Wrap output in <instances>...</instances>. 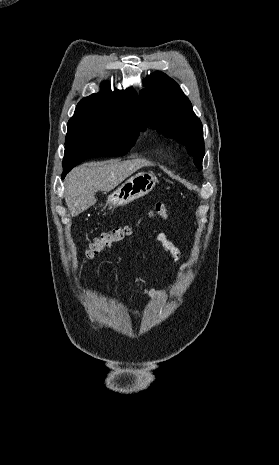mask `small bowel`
<instances>
[{
  "label": "small bowel",
  "instance_id": "small-bowel-1",
  "mask_svg": "<svg viewBox=\"0 0 279 465\" xmlns=\"http://www.w3.org/2000/svg\"><path fill=\"white\" fill-rule=\"evenodd\" d=\"M157 239L161 243V245L173 257L176 265L178 266V272H177L178 276H182L183 273L192 264V259H188V260L182 262L181 261V251H180V249L173 242H171L168 239V237H167V235L165 233H159ZM163 293H164L163 290L154 289V288L145 289L143 291V295L149 300L160 297V296L163 295Z\"/></svg>",
  "mask_w": 279,
  "mask_h": 465
}]
</instances>
